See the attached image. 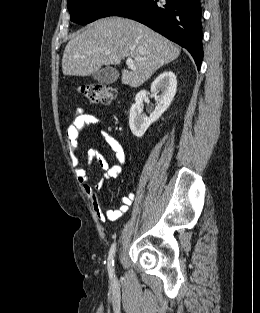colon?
I'll use <instances>...</instances> for the list:
<instances>
[{
	"label": "colon",
	"mask_w": 260,
	"mask_h": 313,
	"mask_svg": "<svg viewBox=\"0 0 260 313\" xmlns=\"http://www.w3.org/2000/svg\"><path fill=\"white\" fill-rule=\"evenodd\" d=\"M79 92L94 104H109L117 97L115 88L101 83L83 84L79 87Z\"/></svg>",
	"instance_id": "1"
}]
</instances>
